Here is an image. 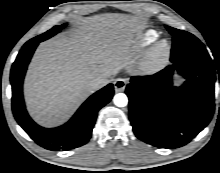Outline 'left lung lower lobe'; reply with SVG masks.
<instances>
[{
	"mask_svg": "<svg viewBox=\"0 0 220 173\" xmlns=\"http://www.w3.org/2000/svg\"><path fill=\"white\" fill-rule=\"evenodd\" d=\"M171 62L154 75L132 77L126 94L135 135L152 146L173 149L189 143L210 122L216 76L210 56ZM175 70L186 79L180 87L172 84Z\"/></svg>",
	"mask_w": 220,
	"mask_h": 173,
	"instance_id": "obj_1",
	"label": "left lung lower lobe"
}]
</instances>
